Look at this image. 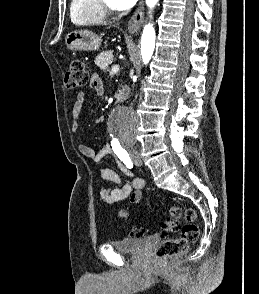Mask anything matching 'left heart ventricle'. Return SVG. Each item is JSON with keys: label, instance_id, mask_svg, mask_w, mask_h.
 I'll list each match as a JSON object with an SVG mask.
<instances>
[{"label": "left heart ventricle", "instance_id": "1", "mask_svg": "<svg viewBox=\"0 0 259 294\" xmlns=\"http://www.w3.org/2000/svg\"><path fill=\"white\" fill-rule=\"evenodd\" d=\"M106 1V3L108 4V5H110V6H114V2H113V0H105Z\"/></svg>", "mask_w": 259, "mask_h": 294}]
</instances>
